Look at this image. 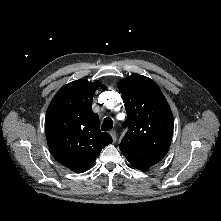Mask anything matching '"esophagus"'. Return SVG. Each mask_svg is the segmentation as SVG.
<instances>
[{
	"instance_id": "1",
	"label": "esophagus",
	"mask_w": 221,
	"mask_h": 221,
	"mask_svg": "<svg viewBox=\"0 0 221 221\" xmlns=\"http://www.w3.org/2000/svg\"><path fill=\"white\" fill-rule=\"evenodd\" d=\"M110 135L112 136V139L115 142L117 140V132L115 130H111Z\"/></svg>"
}]
</instances>
